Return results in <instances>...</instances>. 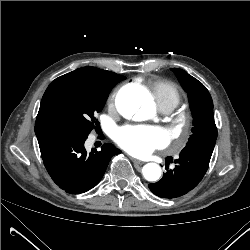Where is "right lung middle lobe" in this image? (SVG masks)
<instances>
[{
    "instance_id": "1",
    "label": "right lung middle lobe",
    "mask_w": 250,
    "mask_h": 250,
    "mask_svg": "<svg viewBox=\"0 0 250 250\" xmlns=\"http://www.w3.org/2000/svg\"><path fill=\"white\" fill-rule=\"evenodd\" d=\"M125 77L107 80L77 79L62 82L46 96L42 124L46 131H78L89 134L97 125L111 89Z\"/></svg>"
}]
</instances>
